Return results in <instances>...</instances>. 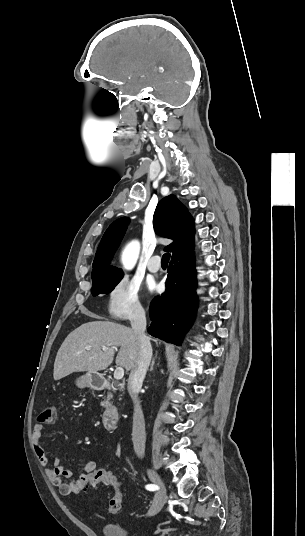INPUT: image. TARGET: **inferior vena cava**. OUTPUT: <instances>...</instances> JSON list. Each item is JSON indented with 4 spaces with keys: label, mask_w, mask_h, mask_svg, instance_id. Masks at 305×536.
<instances>
[{
    "label": "inferior vena cava",
    "mask_w": 305,
    "mask_h": 536,
    "mask_svg": "<svg viewBox=\"0 0 305 536\" xmlns=\"http://www.w3.org/2000/svg\"><path fill=\"white\" fill-rule=\"evenodd\" d=\"M130 322L131 328L134 330L139 342V358L137 366L131 370L128 382V392L134 404L132 442L137 456H144L146 442L145 420L138 400V394L141 390L143 380L152 358L150 340L145 334V310H143V308H135L130 318Z\"/></svg>",
    "instance_id": "obj_1"
}]
</instances>
